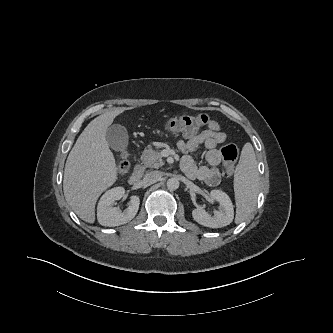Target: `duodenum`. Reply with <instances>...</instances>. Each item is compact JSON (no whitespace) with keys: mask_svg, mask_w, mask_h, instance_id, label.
I'll return each mask as SVG.
<instances>
[{"mask_svg":"<svg viewBox=\"0 0 333 333\" xmlns=\"http://www.w3.org/2000/svg\"><path fill=\"white\" fill-rule=\"evenodd\" d=\"M143 175V169L141 167H137L135 171L128 178V183L130 185H137Z\"/></svg>","mask_w":333,"mask_h":333,"instance_id":"1","label":"duodenum"}]
</instances>
